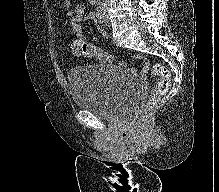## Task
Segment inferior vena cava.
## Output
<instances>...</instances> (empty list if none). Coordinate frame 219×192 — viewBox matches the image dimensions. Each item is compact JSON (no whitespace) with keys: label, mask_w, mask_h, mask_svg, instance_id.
<instances>
[{"label":"inferior vena cava","mask_w":219,"mask_h":192,"mask_svg":"<svg viewBox=\"0 0 219 192\" xmlns=\"http://www.w3.org/2000/svg\"><path fill=\"white\" fill-rule=\"evenodd\" d=\"M102 3V6L104 7V9L108 8L109 5V0H99Z\"/></svg>","instance_id":"inferior-vena-cava-1"}]
</instances>
